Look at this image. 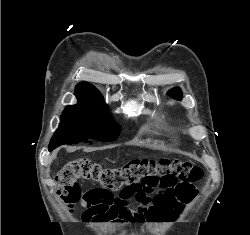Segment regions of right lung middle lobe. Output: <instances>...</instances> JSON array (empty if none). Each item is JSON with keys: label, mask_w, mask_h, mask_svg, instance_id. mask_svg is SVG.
I'll list each match as a JSON object with an SVG mask.
<instances>
[{"label": "right lung middle lobe", "mask_w": 250, "mask_h": 235, "mask_svg": "<svg viewBox=\"0 0 250 235\" xmlns=\"http://www.w3.org/2000/svg\"><path fill=\"white\" fill-rule=\"evenodd\" d=\"M120 131L121 127L114 122L104 102H79L65 108L49 145L114 141Z\"/></svg>", "instance_id": "right-lung-middle-lobe-1"}]
</instances>
